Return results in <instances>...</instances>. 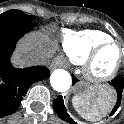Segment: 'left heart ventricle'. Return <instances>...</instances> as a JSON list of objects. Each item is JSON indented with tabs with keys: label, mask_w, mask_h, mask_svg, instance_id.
I'll use <instances>...</instances> for the list:
<instances>
[{
	"label": "left heart ventricle",
	"mask_w": 124,
	"mask_h": 124,
	"mask_svg": "<svg viewBox=\"0 0 124 124\" xmlns=\"http://www.w3.org/2000/svg\"><path fill=\"white\" fill-rule=\"evenodd\" d=\"M119 60V51L116 47L105 48L96 58L93 65V72L98 76L110 73Z\"/></svg>",
	"instance_id": "1"
}]
</instances>
